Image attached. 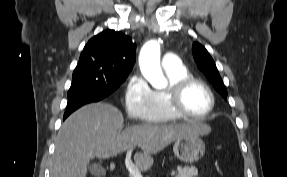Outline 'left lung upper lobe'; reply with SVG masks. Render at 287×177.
Returning <instances> with one entry per match:
<instances>
[{
    "instance_id": "5c2ea615",
    "label": "left lung upper lobe",
    "mask_w": 287,
    "mask_h": 177,
    "mask_svg": "<svg viewBox=\"0 0 287 177\" xmlns=\"http://www.w3.org/2000/svg\"><path fill=\"white\" fill-rule=\"evenodd\" d=\"M193 57L198 65V67L202 70V72L206 75L208 80L212 83L214 88L222 95V97L226 100L227 98V90L223 84V81L219 75L217 67L205 49V47L198 42H195L192 47Z\"/></svg>"
}]
</instances>
